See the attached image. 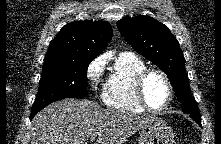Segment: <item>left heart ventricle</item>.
Returning <instances> with one entry per match:
<instances>
[{
	"label": "left heart ventricle",
	"instance_id": "1",
	"mask_svg": "<svg viewBox=\"0 0 221 144\" xmlns=\"http://www.w3.org/2000/svg\"><path fill=\"white\" fill-rule=\"evenodd\" d=\"M145 97L152 108L162 107L168 99V88L163 78L151 74L145 82Z\"/></svg>",
	"mask_w": 221,
	"mask_h": 144
}]
</instances>
